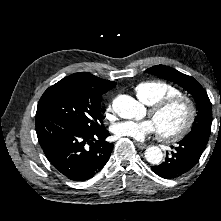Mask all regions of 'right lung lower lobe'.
<instances>
[{
	"label": "right lung lower lobe",
	"mask_w": 221,
	"mask_h": 221,
	"mask_svg": "<svg viewBox=\"0 0 221 221\" xmlns=\"http://www.w3.org/2000/svg\"><path fill=\"white\" fill-rule=\"evenodd\" d=\"M36 133L49 162L66 178L85 181L98 173L110 158L113 144L103 128L87 131L63 118L36 112Z\"/></svg>",
	"instance_id": "1"
}]
</instances>
